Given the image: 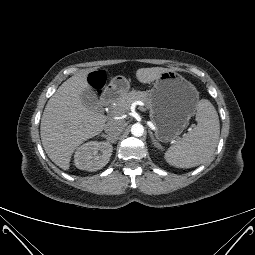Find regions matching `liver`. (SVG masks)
<instances>
[{
  "label": "liver",
  "mask_w": 255,
  "mask_h": 255,
  "mask_svg": "<svg viewBox=\"0 0 255 255\" xmlns=\"http://www.w3.org/2000/svg\"><path fill=\"white\" fill-rule=\"evenodd\" d=\"M168 70L173 69L141 68L136 71V78L141 83H150ZM88 73L80 72L63 82L47 102L41 118L40 135L44 150L63 170H69L74 150L100 134L105 127L106 118L86 107L81 100L83 91L92 89L87 81Z\"/></svg>",
  "instance_id": "6515ba94"
}]
</instances>
